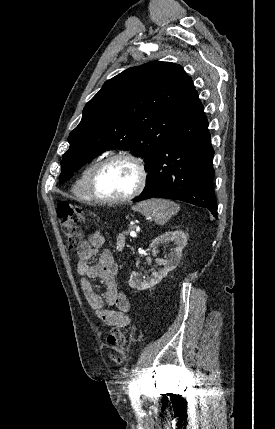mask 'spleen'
<instances>
[{
    "mask_svg": "<svg viewBox=\"0 0 275 429\" xmlns=\"http://www.w3.org/2000/svg\"><path fill=\"white\" fill-rule=\"evenodd\" d=\"M132 209L147 218H153L156 224L164 225L180 210V207L170 200L152 198L139 202Z\"/></svg>",
    "mask_w": 275,
    "mask_h": 429,
    "instance_id": "spleen-1",
    "label": "spleen"
}]
</instances>
